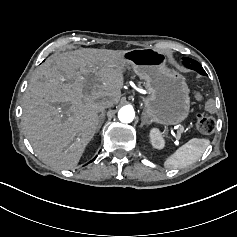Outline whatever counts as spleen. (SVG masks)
Wrapping results in <instances>:
<instances>
[{
    "label": "spleen",
    "instance_id": "3e777b00",
    "mask_svg": "<svg viewBox=\"0 0 237 237\" xmlns=\"http://www.w3.org/2000/svg\"><path fill=\"white\" fill-rule=\"evenodd\" d=\"M210 145L206 138H192L164 159L165 169H183L197 162Z\"/></svg>",
    "mask_w": 237,
    "mask_h": 237
}]
</instances>
